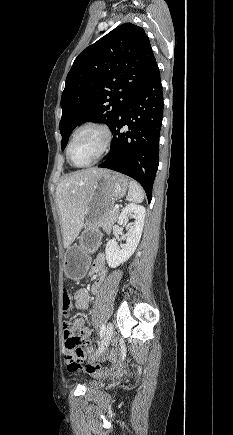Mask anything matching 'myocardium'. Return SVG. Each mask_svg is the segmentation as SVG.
<instances>
[{"instance_id":"f54148a6","label":"myocardium","mask_w":233,"mask_h":435,"mask_svg":"<svg viewBox=\"0 0 233 435\" xmlns=\"http://www.w3.org/2000/svg\"><path fill=\"white\" fill-rule=\"evenodd\" d=\"M87 129H95L98 132H100V134L103 137V142H102V145H101V148H100L98 154L96 155V157L92 161H90L86 164H83V165H76L72 162V160L70 158L71 146H72L75 138L82 131L87 130ZM111 140H112V132L109 129V127L106 126L105 124H102V123L96 122V121H88V122L82 123L71 134V137L69 139V142H68V145L66 148V158H67L68 162L75 168H87V167L93 166L96 163H98L101 160V158L104 156V154L106 153V151L109 148Z\"/></svg>"}]
</instances>
